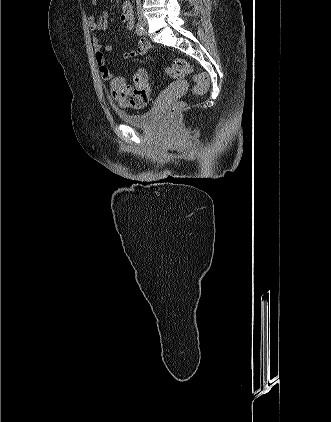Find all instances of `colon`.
Listing matches in <instances>:
<instances>
[{
	"label": "colon",
	"mask_w": 331,
	"mask_h": 422,
	"mask_svg": "<svg viewBox=\"0 0 331 422\" xmlns=\"http://www.w3.org/2000/svg\"><path fill=\"white\" fill-rule=\"evenodd\" d=\"M166 72L170 77L182 78L193 73V66L183 59H176L167 68ZM192 93L195 97L202 96L206 93L209 86V78L203 72L193 74ZM111 94L118 100L127 103L135 108L144 107L150 94V86L147 74L143 69H139L134 77V86L126 84L120 77L111 80ZM184 102H178L169 108L166 116L170 119L175 118L183 109Z\"/></svg>",
	"instance_id": "5ec220e1"
}]
</instances>
